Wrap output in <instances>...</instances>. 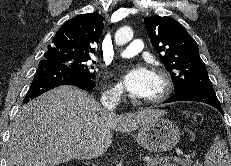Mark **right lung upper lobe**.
<instances>
[{"label": "right lung upper lobe", "instance_id": "cb5924a9", "mask_svg": "<svg viewBox=\"0 0 231 166\" xmlns=\"http://www.w3.org/2000/svg\"><path fill=\"white\" fill-rule=\"evenodd\" d=\"M103 29V16L93 13L78 15L57 31L44 56L91 57Z\"/></svg>", "mask_w": 231, "mask_h": 166}]
</instances>
